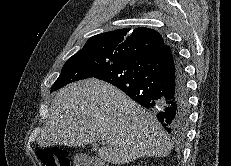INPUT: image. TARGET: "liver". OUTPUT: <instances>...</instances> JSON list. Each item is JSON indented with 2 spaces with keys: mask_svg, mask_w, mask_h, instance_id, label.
<instances>
[{
  "mask_svg": "<svg viewBox=\"0 0 231 166\" xmlns=\"http://www.w3.org/2000/svg\"><path fill=\"white\" fill-rule=\"evenodd\" d=\"M104 144L98 148L96 142ZM40 147L92 144L101 160L125 164L140 157H166L172 145L156 117L113 85L86 79L55 96L37 139Z\"/></svg>",
  "mask_w": 231,
  "mask_h": 166,
  "instance_id": "1",
  "label": "liver"
}]
</instances>
